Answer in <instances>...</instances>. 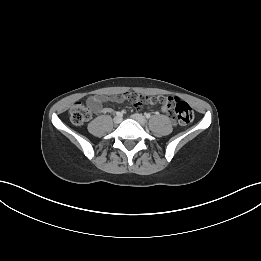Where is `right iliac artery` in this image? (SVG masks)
<instances>
[{"label": "right iliac artery", "mask_w": 261, "mask_h": 261, "mask_svg": "<svg viewBox=\"0 0 261 261\" xmlns=\"http://www.w3.org/2000/svg\"><path fill=\"white\" fill-rule=\"evenodd\" d=\"M116 115L117 116H122V113L121 112H116Z\"/></svg>", "instance_id": "1"}]
</instances>
